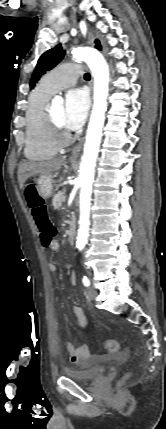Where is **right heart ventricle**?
<instances>
[{"label": "right heart ventricle", "mask_w": 166, "mask_h": 429, "mask_svg": "<svg viewBox=\"0 0 166 429\" xmlns=\"http://www.w3.org/2000/svg\"><path fill=\"white\" fill-rule=\"evenodd\" d=\"M52 94L39 86L28 99L24 151L25 156L33 161L49 159L58 149L50 139L46 121V105Z\"/></svg>", "instance_id": "e07e8e85"}]
</instances>
